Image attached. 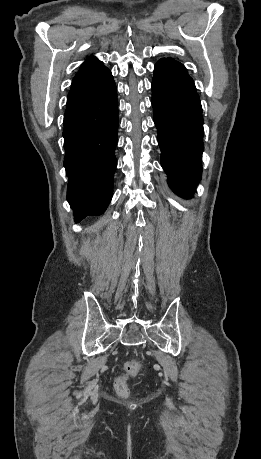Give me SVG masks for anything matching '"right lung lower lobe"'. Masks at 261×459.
<instances>
[{
    "mask_svg": "<svg viewBox=\"0 0 261 459\" xmlns=\"http://www.w3.org/2000/svg\"><path fill=\"white\" fill-rule=\"evenodd\" d=\"M118 103L115 82L92 98L66 109L64 166L67 200L76 222L101 215L110 203L116 167Z\"/></svg>",
    "mask_w": 261,
    "mask_h": 459,
    "instance_id": "98d812e1",
    "label": "right lung lower lobe"
}]
</instances>
